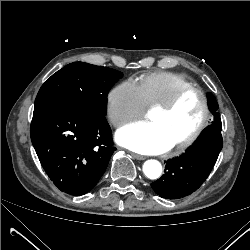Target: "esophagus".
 I'll return each instance as SVG.
<instances>
[{
    "label": "esophagus",
    "instance_id": "1",
    "mask_svg": "<svg viewBox=\"0 0 250 250\" xmlns=\"http://www.w3.org/2000/svg\"><path fill=\"white\" fill-rule=\"evenodd\" d=\"M131 156L137 160H145L146 157L145 156H142V155H139V154H136V153H131Z\"/></svg>",
    "mask_w": 250,
    "mask_h": 250
}]
</instances>
